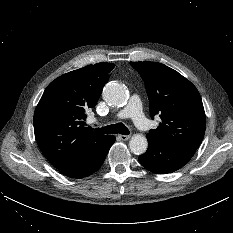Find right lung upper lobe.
<instances>
[{
  "label": "right lung upper lobe",
  "instance_id": "obj_1",
  "mask_svg": "<svg viewBox=\"0 0 233 233\" xmlns=\"http://www.w3.org/2000/svg\"><path fill=\"white\" fill-rule=\"evenodd\" d=\"M114 66L88 65L56 78L45 89L34 113V133L43 155L57 169L85 157L110 136L82 125Z\"/></svg>",
  "mask_w": 233,
  "mask_h": 233
}]
</instances>
